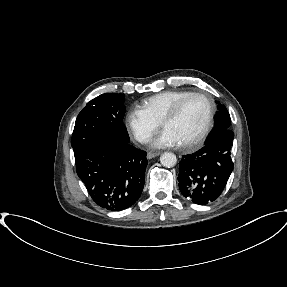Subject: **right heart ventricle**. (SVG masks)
I'll return each instance as SVG.
<instances>
[{
	"instance_id": "1",
	"label": "right heart ventricle",
	"mask_w": 287,
	"mask_h": 287,
	"mask_svg": "<svg viewBox=\"0 0 287 287\" xmlns=\"http://www.w3.org/2000/svg\"><path fill=\"white\" fill-rule=\"evenodd\" d=\"M191 93L186 90H167L144 99L140 109L160 123L167 111L182 97Z\"/></svg>"
}]
</instances>
